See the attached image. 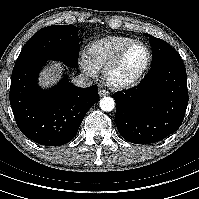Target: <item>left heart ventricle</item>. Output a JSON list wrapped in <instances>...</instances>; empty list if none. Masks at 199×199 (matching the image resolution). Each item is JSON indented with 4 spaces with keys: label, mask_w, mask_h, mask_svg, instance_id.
Returning a JSON list of instances; mask_svg holds the SVG:
<instances>
[{
    "label": "left heart ventricle",
    "mask_w": 199,
    "mask_h": 199,
    "mask_svg": "<svg viewBox=\"0 0 199 199\" xmlns=\"http://www.w3.org/2000/svg\"><path fill=\"white\" fill-rule=\"evenodd\" d=\"M146 60V51L144 47L137 46L131 49L126 55L122 65L115 73L118 80H129L135 77L142 69Z\"/></svg>",
    "instance_id": "obj_1"
}]
</instances>
